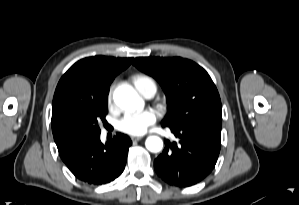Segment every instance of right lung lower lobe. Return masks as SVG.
I'll return each mask as SVG.
<instances>
[{"label":"right lung lower lobe","mask_w":299,"mask_h":205,"mask_svg":"<svg viewBox=\"0 0 299 205\" xmlns=\"http://www.w3.org/2000/svg\"><path fill=\"white\" fill-rule=\"evenodd\" d=\"M131 144L127 135L117 133L111 142L104 145L98 133L59 151V155L79 180L102 185L121 175Z\"/></svg>","instance_id":"obj_1"}]
</instances>
